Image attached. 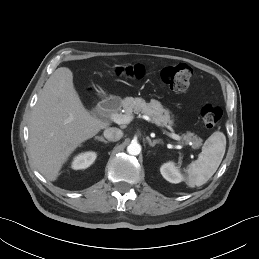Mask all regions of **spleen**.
I'll list each match as a JSON object with an SVG mask.
<instances>
[{
	"label": "spleen",
	"instance_id": "1",
	"mask_svg": "<svg viewBox=\"0 0 259 259\" xmlns=\"http://www.w3.org/2000/svg\"><path fill=\"white\" fill-rule=\"evenodd\" d=\"M226 149V137L220 132H214L204 143L198 159L186 168L187 184L194 188L205 184L218 169Z\"/></svg>",
	"mask_w": 259,
	"mask_h": 259
}]
</instances>
